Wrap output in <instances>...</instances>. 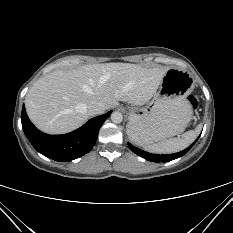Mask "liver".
Masks as SVG:
<instances>
[{
  "instance_id": "6515ba94",
  "label": "liver",
  "mask_w": 233,
  "mask_h": 233,
  "mask_svg": "<svg viewBox=\"0 0 233 233\" xmlns=\"http://www.w3.org/2000/svg\"><path fill=\"white\" fill-rule=\"evenodd\" d=\"M168 69L105 63L69 71L55 70L29 89L26 111L40 130L50 134L67 133L89 119L87 106L92 101L103 103L106 109L116 107L119 101L144 105L156 93Z\"/></svg>"
}]
</instances>
